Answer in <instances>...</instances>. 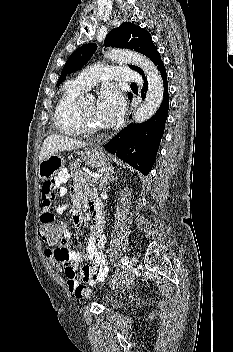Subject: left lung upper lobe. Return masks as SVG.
Here are the masks:
<instances>
[{
  "mask_svg": "<svg viewBox=\"0 0 233 352\" xmlns=\"http://www.w3.org/2000/svg\"><path fill=\"white\" fill-rule=\"evenodd\" d=\"M104 45L106 47L134 49L150 58L156 66L161 61L160 54L152 41L151 35L146 30L130 22L122 23L118 28L111 30L106 36ZM96 48V44H86L77 49L64 65L57 86L66 79L68 74L81 69L92 57ZM129 67L144 76L143 70L139 67L135 65H129ZM131 97L132 94L128 93V98L131 99Z\"/></svg>",
  "mask_w": 233,
  "mask_h": 352,
  "instance_id": "1",
  "label": "left lung upper lobe"
}]
</instances>
